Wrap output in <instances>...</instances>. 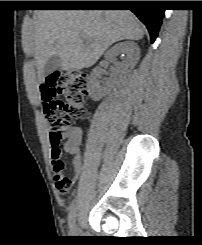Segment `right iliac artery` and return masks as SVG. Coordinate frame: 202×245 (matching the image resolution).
<instances>
[{
  "mask_svg": "<svg viewBox=\"0 0 202 245\" xmlns=\"http://www.w3.org/2000/svg\"><path fill=\"white\" fill-rule=\"evenodd\" d=\"M77 210H78L77 203L76 202H73L71 204V206H70V212H69V216H68V224H69V227L70 228L75 223V218H76V215H77Z\"/></svg>",
  "mask_w": 202,
  "mask_h": 245,
  "instance_id": "obj_1",
  "label": "right iliac artery"
}]
</instances>
